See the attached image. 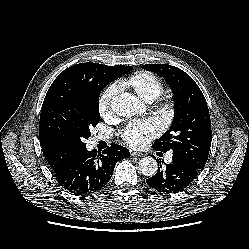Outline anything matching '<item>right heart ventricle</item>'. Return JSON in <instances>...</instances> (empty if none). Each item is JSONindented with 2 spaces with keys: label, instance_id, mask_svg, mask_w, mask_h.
Returning <instances> with one entry per match:
<instances>
[{
  "label": "right heart ventricle",
  "instance_id": "e07e8e85",
  "mask_svg": "<svg viewBox=\"0 0 249 249\" xmlns=\"http://www.w3.org/2000/svg\"><path fill=\"white\" fill-rule=\"evenodd\" d=\"M122 86L133 89L143 100L153 101L163 92V81L148 71H138L122 81Z\"/></svg>",
  "mask_w": 249,
  "mask_h": 249
}]
</instances>
